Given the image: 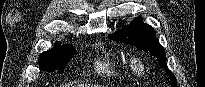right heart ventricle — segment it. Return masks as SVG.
Listing matches in <instances>:
<instances>
[{
	"mask_svg": "<svg viewBox=\"0 0 205 87\" xmlns=\"http://www.w3.org/2000/svg\"><path fill=\"white\" fill-rule=\"evenodd\" d=\"M97 71L101 74L113 77H121L124 74L130 76L133 72L131 65H129L128 62L116 64L109 58H106L98 63Z\"/></svg>",
	"mask_w": 205,
	"mask_h": 87,
	"instance_id": "right-heart-ventricle-1",
	"label": "right heart ventricle"
}]
</instances>
